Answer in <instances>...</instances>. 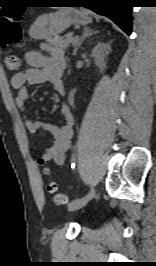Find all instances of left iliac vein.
<instances>
[{"label":"left iliac vein","mask_w":156,"mask_h":266,"mask_svg":"<svg viewBox=\"0 0 156 266\" xmlns=\"http://www.w3.org/2000/svg\"><path fill=\"white\" fill-rule=\"evenodd\" d=\"M94 197V196H93ZM92 197V198H93ZM92 198H86L85 196L80 198L77 201H73L69 204L68 209L70 211H75L78 210L80 208H82L83 206H85L90 200H92Z\"/></svg>","instance_id":"1"}]
</instances>
